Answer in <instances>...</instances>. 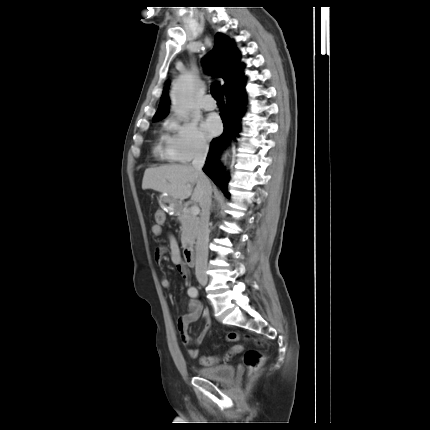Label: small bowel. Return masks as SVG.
<instances>
[{
  "mask_svg": "<svg viewBox=\"0 0 430 430\" xmlns=\"http://www.w3.org/2000/svg\"><path fill=\"white\" fill-rule=\"evenodd\" d=\"M152 234L154 236H159L162 232V227L160 225H153L151 228ZM167 252V248L165 246L157 247L155 251V259L160 262L162 260L163 255ZM169 253L172 262L176 265L177 270L182 275L184 279H189L190 271L182 262L181 254L179 251L178 243L174 236H169ZM160 284L163 288H169L171 285L170 280L167 277H163L160 280ZM201 315H203L204 319V327L202 331L197 336L195 342L197 345H201L206 338V335L210 329L211 322L209 318V314L207 311L203 310L202 304L196 300L191 299L188 302V313L182 315L177 320V328L180 334L181 341L184 345H190L192 342V338L188 334V327L191 323L197 321ZM239 350L242 349L241 346H236ZM188 355L190 358L195 359L199 355V349L191 348L188 349Z\"/></svg>",
  "mask_w": 430,
  "mask_h": 430,
  "instance_id": "c3829d8e",
  "label": "small bowel"
}]
</instances>
